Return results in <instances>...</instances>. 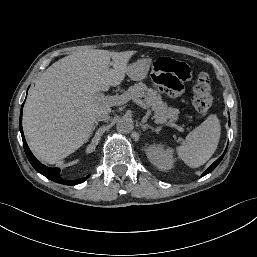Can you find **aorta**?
<instances>
[{
  "label": "aorta",
  "mask_w": 257,
  "mask_h": 257,
  "mask_svg": "<svg viewBox=\"0 0 257 257\" xmlns=\"http://www.w3.org/2000/svg\"><path fill=\"white\" fill-rule=\"evenodd\" d=\"M116 128L122 133H129L133 130L134 123L131 118L124 117L117 122Z\"/></svg>",
  "instance_id": "1"
}]
</instances>
